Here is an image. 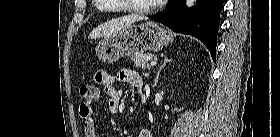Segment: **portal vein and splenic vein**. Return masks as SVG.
I'll return each instance as SVG.
<instances>
[{"mask_svg": "<svg viewBox=\"0 0 280 137\" xmlns=\"http://www.w3.org/2000/svg\"><path fill=\"white\" fill-rule=\"evenodd\" d=\"M150 65H151V66H155V65H156V61H152V62L150 63Z\"/></svg>", "mask_w": 280, "mask_h": 137, "instance_id": "obj_1", "label": "portal vein and splenic vein"}]
</instances>
